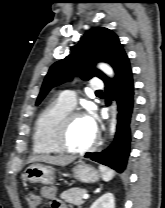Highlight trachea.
<instances>
[{"label":"trachea","instance_id":"obj_1","mask_svg":"<svg viewBox=\"0 0 165 208\" xmlns=\"http://www.w3.org/2000/svg\"><path fill=\"white\" fill-rule=\"evenodd\" d=\"M96 94H97V95L103 94V92H102V91H97Z\"/></svg>","mask_w":165,"mask_h":208}]
</instances>
